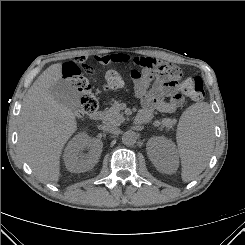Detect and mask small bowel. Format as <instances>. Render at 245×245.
Instances as JSON below:
<instances>
[{
  "instance_id": "obj_1",
  "label": "small bowel",
  "mask_w": 245,
  "mask_h": 245,
  "mask_svg": "<svg viewBox=\"0 0 245 245\" xmlns=\"http://www.w3.org/2000/svg\"><path fill=\"white\" fill-rule=\"evenodd\" d=\"M82 62L85 57H81ZM101 64H130L131 76L137 98L142 104V110L138 115L148 121L155 111L173 113L179 109L184 98L178 92L177 84L172 81L158 78L153 85V69L155 60L144 56H132L128 54H104L96 56Z\"/></svg>"
}]
</instances>
